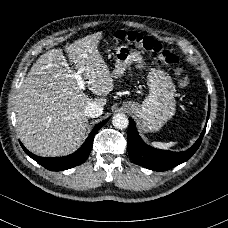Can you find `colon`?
Returning a JSON list of instances; mask_svg holds the SVG:
<instances>
[{
    "label": "colon",
    "mask_w": 228,
    "mask_h": 228,
    "mask_svg": "<svg viewBox=\"0 0 228 228\" xmlns=\"http://www.w3.org/2000/svg\"><path fill=\"white\" fill-rule=\"evenodd\" d=\"M114 37L120 42H128L146 52H151L159 55L161 61L169 66L173 71L179 89L185 90L187 88L189 81L179 66V59L173 52L165 49L159 41L144 36L137 31L129 30H117L114 33Z\"/></svg>",
    "instance_id": "colon-1"
}]
</instances>
